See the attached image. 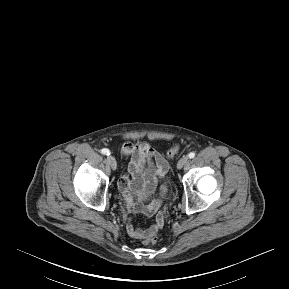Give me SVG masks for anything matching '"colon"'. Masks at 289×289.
I'll return each mask as SVG.
<instances>
[{"mask_svg": "<svg viewBox=\"0 0 289 289\" xmlns=\"http://www.w3.org/2000/svg\"><path fill=\"white\" fill-rule=\"evenodd\" d=\"M176 147L168 151V156L173 155L176 152ZM158 241V236L156 233L151 234L146 239L143 240L144 244H155Z\"/></svg>", "mask_w": 289, "mask_h": 289, "instance_id": "5ec220e1", "label": "colon"}]
</instances>
